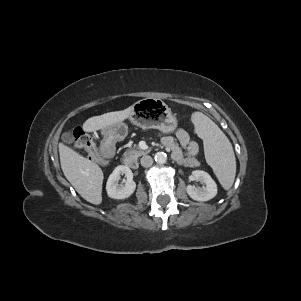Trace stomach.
Masks as SVG:
<instances>
[{
  "instance_id": "0dacf381",
  "label": "stomach",
  "mask_w": 301,
  "mask_h": 301,
  "mask_svg": "<svg viewBox=\"0 0 301 301\" xmlns=\"http://www.w3.org/2000/svg\"><path fill=\"white\" fill-rule=\"evenodd\" d=\"M129 119L135 125L143 128L158 129L169 134L176 130L178 120L167 105L155 98H145L133 104ZM106 140L113 142L121 140L126 135V127L123 123L103 129Z\"/></svg>"
}]
</instances>
